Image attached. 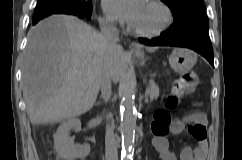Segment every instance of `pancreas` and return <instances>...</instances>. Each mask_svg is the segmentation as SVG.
<instances>
[{
	"mask_svg": "<svg viewBox=\"0 0 242 160\" xmlns=\"http://www.w3.org/2000/svg\"><path fill=\"white\" fill-rule=\"evenodd\" d=\"M146 91L151 101L157 99L159 96V87L153 81L149 82V86Z\"/></svg>",
	"mask_w": 242,
	"mask_h": 160,
	"instance_id": "obj_1",
	"label": "pancreas"
}]
</instances>
